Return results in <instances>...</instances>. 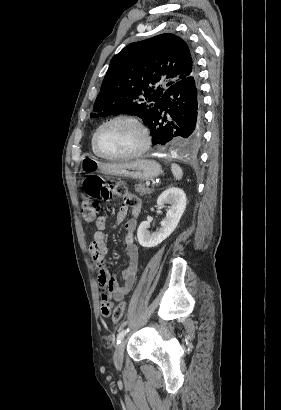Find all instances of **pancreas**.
<instances>
[{"label": "pancreas", "instance_id": "pancreas-1", "mask_svg": "<svg viewBox=\"0 0 281 410\" xmlns=\"http://www.w3.org/2000/svg\"><path fill=\"white\" fill-rule=\"evenodd\" d=\"M135 191L140 195L151 194L153 189L145 187L144 184L139 183L135 185Z\"/></svg>", "mask_w": 281, "mask_h": 410}]
</instances>
